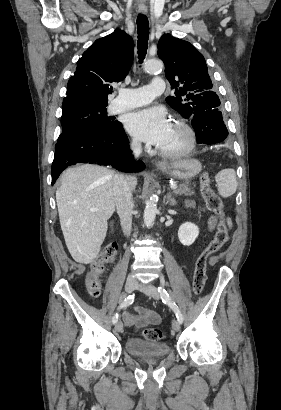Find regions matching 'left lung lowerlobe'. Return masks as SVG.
I'll return each instance as SVG.
<instances>
[{
    "label": "left lung lower lobe",
    "instance_id": "obj_1",
    "mask_svg": "<svg viewBox=\"0 0 281 410\" xmlns=\"http://www.w3.org/2000/svg\"><path fill=\"white\" fill-rule=\"evenodd\" d=\"M198 144H215L228 136L222 113L218 108L197 112L191 118Z\"/></svg>",
    "mask_w": 281,
    "mask_h": 410
}]
</instances>
